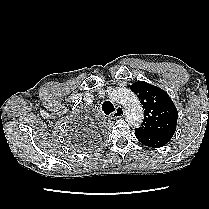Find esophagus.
<instances>
[{"label": "esophagus", "instance_id": "1", "mask_svg": "<svg viewBox=\"0 0 209 209\" xmlns=\"http://www.w3.org/2000/svg\"><path fill=\"white\" fill-rule=\"evenodd\" d=\"M124 116V109L122 106H117L116 110L112 113L111 118H120Z\"/></svg>", "mask_w": 209, "mask_h": 209}]
</instances>
